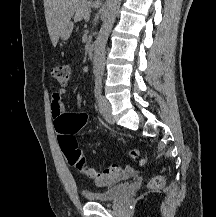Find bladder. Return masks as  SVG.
<instances>
[{"label": "bladder", "instance_id": "31cf9c89", "mask_svg": "<svg viewBox=\"0 0 216 217\" xmlns=\"http://www.w3.org/2000/svg\"><path fill=\"white\" fill-rule=\"evenodd\" d=\"M129 183L115 184L103 191H85L83 197L93 203H111L119 199L128 189Z\"/></svg>", "mask_w": 216, "mask_h": 217}]
</instances>
